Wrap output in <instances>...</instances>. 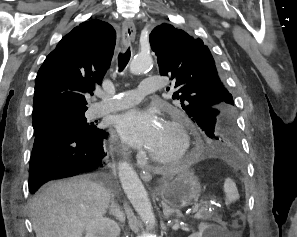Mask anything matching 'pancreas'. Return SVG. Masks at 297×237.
<instances>
[{
  "mask_svg": "<svg viewBox=\"0 0 297 237\" xmlns=\"http://www.w3.org/2000/svg\"><path fill=\"white\" fill-rule=\"evenodd\" d=\"M215 214L216 213L214 211L210 212L206 207H201L195 214L194 218L201 219V220H210L213 218Z\"/></svg>",
  "mask_w": 297,
  "mask_h": 237,
  "instance_id": "1",
  "label": "pancreas"
}]
</instances>
